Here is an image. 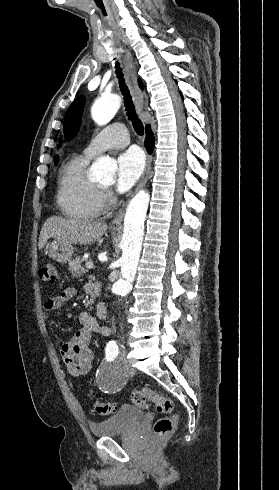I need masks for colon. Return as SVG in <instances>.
<instances>
[{
    "label": "colon",
    "mask_w": 279,
    "mask_h": 490,
    "mask_svg": "<svg viewBox=\"0 0 279 490\" xmlns=\"http://www.w3.org/2000/svg\"><path fill=\"white\" fill-rule=\"evenodd\" d=\"M57 265L54 261L47 262L42 266L39 277L41 281L55 282L57 279ZM132 402L139 408L147 409L151 403H155L159 414H169L170 416L159 417L154 425L156 442H171L174 431V422L179 416L173 413L174 403L171 398L156 393L153 389L147 388L134 391L131 394ZM94 414L107 416L115 411V405L110 401H94L91 404Z\"/></svg>",
    "instance_id": "colon-1"
}]
</instances>
